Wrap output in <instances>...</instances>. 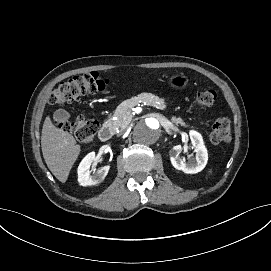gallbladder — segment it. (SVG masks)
I'll use <instances>...</instances> for the list:
<instances>
[{"mask_svg":"<svg viewBox=\"0 0 271 271\" xmlns=\"http://www.w3.org/2000/svg\"><path fill=\"white\" fill-rule=\"evenodd\" d=\"M68 118V113L62 109H59L54 114V119L57 121H65Z\"/></svg>","mask_w":271,"mask_h":271,"instance_id":"bac80fb5","label":"gallbladder"}]
</instances>
